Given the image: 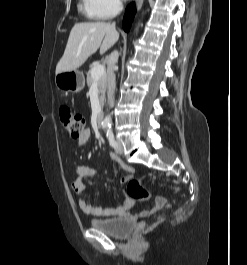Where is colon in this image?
<instances>
[{
	"label": "colon",
	"instance_id": "5ec220e1",
	"mask_svg": "<svg viewBox=\"0 0 247 265\" xmlns=\"http://www.w3.org/2000/svg\"><path fill=\"white\" fill-rule=\"evenodd\" d=\"M60 121L64 129L68 132L72 139L80 141L85 133L84 117L74 112L68 106H62L59 110ZM124 190L127 196L134 200L144 201L150 198V192L143 187L141 181L137 178H128L123 181ZM179 191V187L174 188Z\"/></svg>",
	"mask_w": 247,
	"mask_h": 265
}]
</instances>
